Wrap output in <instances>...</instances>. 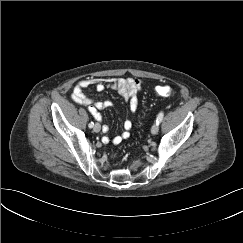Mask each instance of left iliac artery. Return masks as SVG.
Wrapping results in <instances>:
<instances>
[{"mask_svg": "<svg viewBox=\"0 0 243 243\" xmlns=\"http://www.w3.org/2000/svg\"><path fill=\"white\" fill-rule=\"evenodd\" d=\"M163 116H164V113L163 112H160L157 116V119H156V123L157 124H160L161 121L163 120Z\"/></svg>", "mask_w": 243, "mask_h": 243, "instance_id": "44dca946", "label": "left iliac artery"}]
</instances>
